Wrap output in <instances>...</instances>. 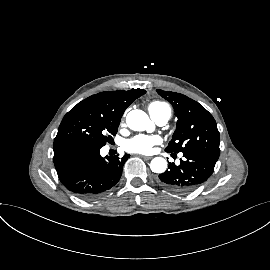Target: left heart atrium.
I'll return each instance as SVG.
<instances>
[{"label": "left heart atrium", "instance_id": "left-heart-atrium-1", "mask_svg": "<svg viewBox=\"0 0 270 270\" xmlns=\"http://www.w3.org/2000/svg\"><path fill=\"white\" fill-rule=\"evenodd\" d=\"M160 143L158 136L139 134L124 143V148L130 153L149 154Z\"/></svg>", "mask_w": 270, "mask_h": 270}]
</instances>
